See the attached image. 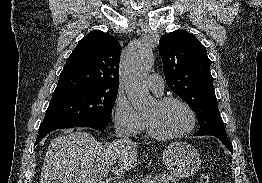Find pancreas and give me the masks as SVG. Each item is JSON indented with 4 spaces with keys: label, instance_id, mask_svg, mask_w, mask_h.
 I'll list each match as a JSON object with an SVG mask.
<instances>
[{
    "label": "pancreas",
    "instance_id": "obj_1",
    "mask_svg": "<svg viewBox=\"0 0 262 183\" xmlns=\"http://www.w3.org/2000/svg\"><path fill=\"white\" fill-rule=\"evenodd\" d=\"M176 183L177 178L174 176H169V175H159V176H146L144 179V183Z\"/></svg>",
    "mask_w": 262,
    "mask_h": 183
}]
</instances>
